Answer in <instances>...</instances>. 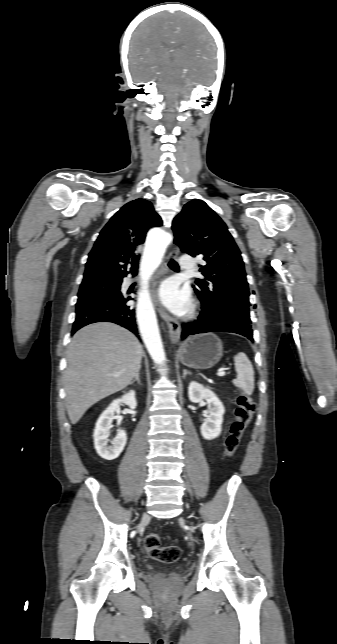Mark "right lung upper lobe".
I'll list each match as a JSON object with an SVG mask.
<instances>
[{
  "instance_id": "cb5924a9",
  "label": "right lung upper lobe",
  "mask_w": 337,
  "mask_h": 644,
  "mask_svg": "<svg viewBox=\"0 0 337 644\" xmlns=\"http://www.w3.org/2000/svg\"><path fill=\"white\" fill-rule=\"evenodd\" d=\"M162 220L151 202L136 199L124 205L100 232L89 253L84 281L114 278L121 279L138 267L136 249L143 244L147 231L161 226Z\"/></svg>"
}]
</instances>
